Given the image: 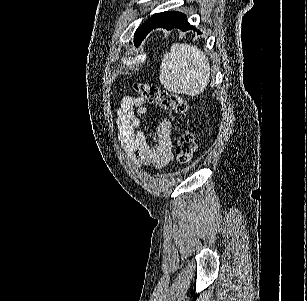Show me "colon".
<instances>
[{
    "mask_svg": "<svg viewBox=\"0 0 307 301\" xmlns=\"http://www.w3.org/2000/svg\"><path fill=\"white\" fill-rule=\"evenodd\" d=\"M135 90L150 103L172 113L182 115L187 111V103L179 95L160 89L158 86L149 83L135 84ZM196 150L194 136L190 132H182L175 139V156L179 163H188Z\"/></svg>",
    "mask_w": 307,
    "mask_h": 301,
    "instance_id": "1",
    "label": "colon"
}]
</instances>
